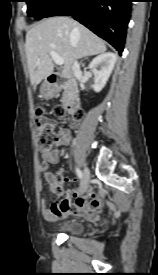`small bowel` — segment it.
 Returning <instances> with one entry per match:
<instances>
[{
	"label": "small bowel",
	"mask_w": 158,
	"mask_h": 275,
	"mask_svg": "<svg viewBox=\"0 0 158 275\" xmlns=\"http://www.w3.org/2000/svg\"><path fill=\"white\" fill-rule=\"evenodd\" d=\"M71 139V131L68 128H61L58 132L55 148L43 155L40 171L53 192L55 180L52 173L49 172V165L59 162L61 148L68 145ZM60 172L62 173L63 169H60ZM85 191L82 186L76 189H70L63 199L55 201L50 207L47 206L46 199L43 198L41 200V210L44 218L48 221H54L57 218L69 215L89 217L96 214L102 208L103 203L95 191L84 194Z\"/></svg>",
	"instance_id": "small-bowel-1"
}]
</instances>
